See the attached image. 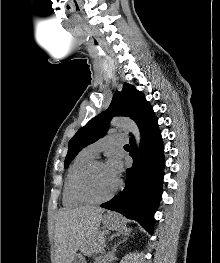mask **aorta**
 <instances>
[{"instance_id":"1","label":"aorta","mask_w":220,"mask_h":263,"mask_svg":"<svg viewBox=\"0 0 220 263\" xmlns=\"http://www.w3.org/2000/svg\"><path fill=\"white\" fill-rule=\"evenodd\" d=\"M111 125L113 127H117V128H124L128 132L132 133L135 137V140H136L137 149L139 148L140 140H141L140 131L138 129V126L136 125V123L133 120L128 119V118H114L111 121ZM138 157L139 156L137 153V158Z\"/></svg>"}]
</instances>
